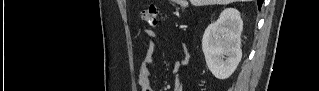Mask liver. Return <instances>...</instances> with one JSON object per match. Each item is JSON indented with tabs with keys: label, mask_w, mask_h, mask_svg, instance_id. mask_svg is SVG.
Segmentation results:
<instances>
[{
	"label": "liver",
	"mask_w": 319,
	"mask_h": 91,
	"mask_svg": "<svg viewBox=\"0 0 319 91\" xmlns=\"http://www.w3.org/2000/svg\"><path fill=\"white\" fill-rule=\"evenodd\" d=\"M235 1L236 0H190L191 4L194 6L214 5V4L227 5Z\"/></svg>",
	"instance_id": "liver-1"
}]
</instances>
